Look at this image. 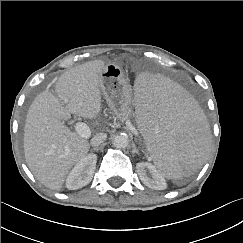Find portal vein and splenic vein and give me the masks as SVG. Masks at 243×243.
<instances>
[{
    "label": "portal vein and splenic vein",
    "instance_id": "obj_1",
    "mask_svg": "<svg viewBox=\"0 0 243 243\" xmlns=\"http://www.w3.org/2000/svg\"><path fill=\"white\" fill-rule=\"evenodd\" d=\"M75 130L81 137L84 138H88L91 135L90 128L83 122H78L75 126Z\"/></svg>",
    "mask_w": 243,
    "mask_h": 243
}]
</instances>
